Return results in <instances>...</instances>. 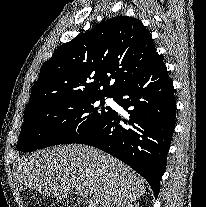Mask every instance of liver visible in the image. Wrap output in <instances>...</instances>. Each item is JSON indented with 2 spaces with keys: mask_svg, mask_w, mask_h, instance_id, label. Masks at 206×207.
<instances>
[{
  "mask_svg": "<svg viewBox=\"0 0 206 207\" xmlns=\"http://www.w3.org/2000/svg\"><path fill=\"white\" fill-rule=\"evenodd\" d=\"M20 190L66 199L73 190L89 196L88 207H121L146 191L144 180L114 157L84 145H63L36 151L19 160Z\"/></svg>",
  "mask_w": 206,
  "mask_h": 207,
  "instance_id": "6515ba94",
  "label": "liver"
}]
</instances>
